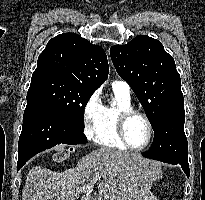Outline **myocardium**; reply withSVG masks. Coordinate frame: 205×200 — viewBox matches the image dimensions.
I'll return each instance as SVG.
<instances>
[{
	"instance_id": "1",
	"label": "myocardium",
	"mask_w": 205,
	"mask_h": 200,
	"mask_svg": "<svg viewBox=\"0 0 205 200\" xmlns=\"http://www.w3.org/2000/svg\"><path fill=\"white\" fill-rule=\"evenodd\" d=\"M134 116H140L141 118H143L148 126L147 141L142 146H139V147L132 146L129 143V141L127 139V135H126L127 124L129 122V120ZM116 129H117V134H118L120 140L122 141V143L126 146L127 149H130L133 151L144 150L145 148H147L150 145V143L153 139L154 131H153V125H152L151 120L144 112L139 111V110L134 109V108L123 109V110L119 111V113L117 114V118H116Z\"/></svg>"
}]
</instances>
